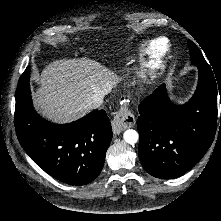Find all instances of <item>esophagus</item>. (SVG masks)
Listing matches in <instances>:
<instances>
[{"instance_id": "esophagus-1", "label": "esophagus", "mask_w": 221, "mask_h": 221, "mask_svg": "<svg viewBox=\"0 0 221 221\" xmlns=\"http://www.w3.org/2000/svg\"><path fill=\"white\" fill-rule=\"evenodd\" d=\"M135 125V116L127 108L124 103L121 108L117 111L116 116L112 120V128L115 134L121 133L126 128H131Z\"/></svg>"}]
</instances>
